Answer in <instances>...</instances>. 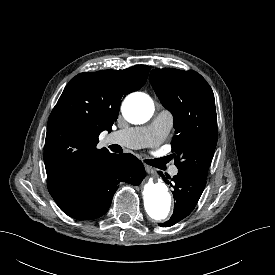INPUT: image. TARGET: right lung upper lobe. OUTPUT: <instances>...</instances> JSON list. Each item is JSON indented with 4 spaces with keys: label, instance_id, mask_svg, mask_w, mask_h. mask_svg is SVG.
<instances>
[{
    "label": "right lung upper lobe",
    "instance_id": "obj_1",
    "mask_svg": "<svg viewBox=\"0 0 275 275\" xmlns=\"http://www.w3.org/2000/svg\"><path fill=\"white\" fill-rule=\"evenodd\" d=\"M149 70L147 65H137L84 72L67 84L49 117L44 148L47 187L53 199L78 174L111 154L96 148L98 136L111 130L121 99L145 84Z\"/></svg>",
    "mask_w": 275,
    "mask_h": 275
}]
</instances>
